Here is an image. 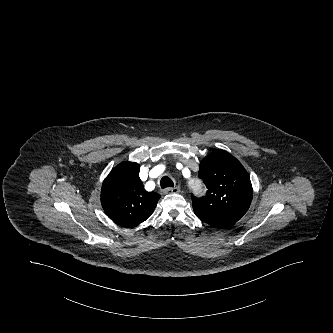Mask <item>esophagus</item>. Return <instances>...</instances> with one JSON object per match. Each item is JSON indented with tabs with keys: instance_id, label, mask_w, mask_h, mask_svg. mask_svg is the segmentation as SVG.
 <instances>
[{
	"instance_id": "34e87169",
	"label": "esophagus",
	"mask_w": 333,
	"mask_h": 333,
	"mask_svg": "<svg viewBox=\"0 0 333 333\" xmlns=\"http://www.w3.org/2000/svg\"><path fill=\"white\" fill-rule=\"evenodd\" d=\"M180 192V188L179 187H170V188H166L163 190L164 194H169V193H179Z\"/></svg>"
}]
</instances>
